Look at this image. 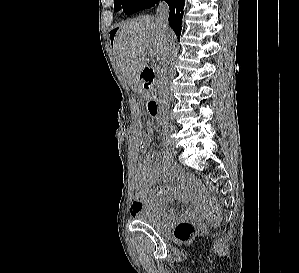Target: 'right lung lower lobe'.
Instances as JSON below:
<instances>
[{
	"mask_svg": "<svg viewBox=\"0 0 299 273\" xmlns=\"http://www.w3.org/2000/svg\"><path fill=\"white\" fill-rule=\"evenodd\" d=\"M158 0H137L127 11L126 14L130 15L139 10L151 8L157 3ZM170 9L169 13V25L180 39L181 28H182V15L185 0H165Z\"/></svg>",
	"mask_w": 299,
	"mask_h": 273,
	"instance_id": "obj_1",
	"label": "right lung lower lobe"
}]
</instances>
